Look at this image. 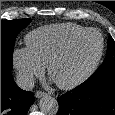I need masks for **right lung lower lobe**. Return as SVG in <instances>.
<instances>
[{
  "instance_id": "right-lung-lower-lobe-1",
  "label": "right lung lower lobe",
  "mask_w": 115,
  "mask_h": 115,
  "mask_svg": "<svg viewBox=\"0 0 115 115\" xmlns=\"http://www.w3.org/2000/svg\"><path fill=\"white\" fill-rule=\"evenodd\" d=\"M34 94L20 89L10 71L1 70V115H27Z\"/></svg>"
}]
</instances>
